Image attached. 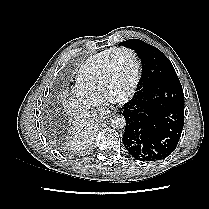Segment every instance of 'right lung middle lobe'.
Listing matches in <instances>:
<instances>
[{"instance_id":"1","label":"right lung middle lobe","mask_w":209,"mask_h":209,"mask_svg":"<svg viewBox=\"0 0 209 209\" xmlns=\"http://www.w3.org/2000/svg\"><path fill=\"white\" fill-rule=\"evenodd\" d=\"M60 148H62V149H63V148H64V146H63V145H61V146H60Z\"/></svg>"}]
</instances>
